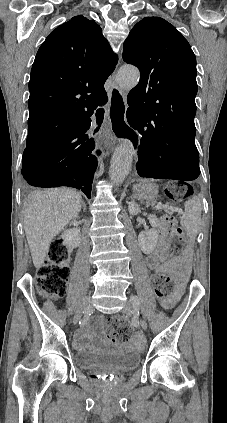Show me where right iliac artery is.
<instances>
[{
    "mask_svg": "<svg viewBox=\"0 0 227 423\" xmlns=\"http://www.w3.org/2000/svg\"><path fill=\"white\" fill-rule=\"evenodd\" d=\"M90 318H91V310L90 309H85L84 310V313L82 314V318L79 321L80 326H83V325L87 324L88 321L90 320Z\"/></svg>",
    "mask_w": 227,
    "mask_h": 423,
    "instance_id": "obj_1",
    "label": "right iliac artery"
}]
</instances>
